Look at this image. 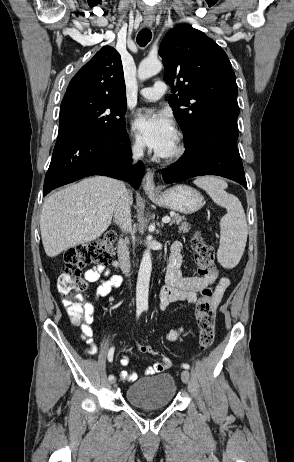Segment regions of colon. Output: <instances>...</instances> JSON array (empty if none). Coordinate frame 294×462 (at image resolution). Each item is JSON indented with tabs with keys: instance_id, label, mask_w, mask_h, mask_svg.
Listing matches in <instances>:
<instances>
[{
	"instance_id": "colon-1",
	"label": "colon",
	"mask_w": 294,
	"mask_h": 462,
	"mask_svg": "<svg viewBox=\"0 0 294 462\" xmlns=\"http://www.w3.org/2000/svg\"><path fill=\"white\" fill-rule=\"evenodd\" d=\"M114 241L115 234L106 232L91 242L68 249L64 255V266L57 279V289L69 318L74 324L82 321L84 312L80 294L87 284L82 271L90 264H109L114 255ZM191 242L199 276L207 280V285L202 290V297L196 306L199 347L205 351L212 346L215 339V252L213 247L205 243L199 235H195ZM146 351L152 355L159 354L150 346H146Z\"/></svg>"
}]
</instances>
